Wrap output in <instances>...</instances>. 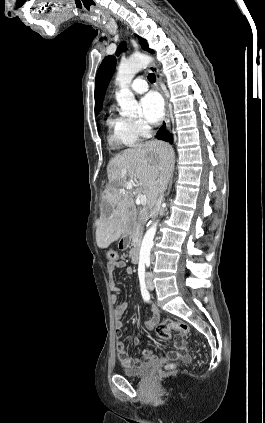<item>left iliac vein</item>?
Wrapping results in <instances>:
<instances>
[{
	"label": "left iliac vein",
	"instance_id": "obj_1",
	"mask_svg": "<svg viewBox=\"0 0 265 423\" xmlns=\"http://www.w3.org/2000/svg\"><path fill=\"white\" fill-rule=\"evenodd\" d=\"M148 286H149V289L150 290H153L154 289V285H153V283L150 280L148 282Z\"/></svg>",
	"mask_w": 265,
	"mask_h": 423
}]
</instances>
